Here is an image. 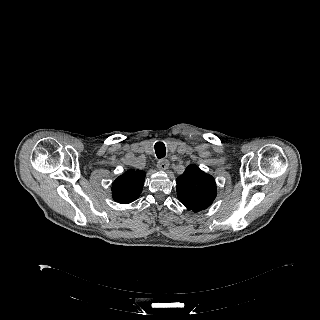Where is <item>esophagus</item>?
Here are the masks:
<instances>
[{"label": "esophagus", "instance_id": "esophagus-1", "mask_svg": "<svg viewBox=\"0 0 320 320\" xmlns=\"http://www.w3.org/2000/svg\"><path fill=\"white\" fill-rule=\"evenodd\" d=\"M157 167L159 170L165 171L169 168V162L166 159H161L157 163Z\"/></svg>", "mask_w": 320, "mask_h": 320}]
</instances>
